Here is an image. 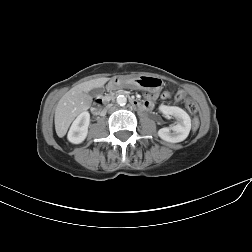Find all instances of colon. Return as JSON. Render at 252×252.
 Wrapping results in <instances>:
<instances>
[{
    "instance_id": "obj_1",
    "label": "colon",
    "mask_w": 252,
    "mask_h": 252,
    "mask_svg": "<svg viewBox=\"0 0 252 252\" xmlns=\"http://www.w3.org/2000/svg\"><path fill=\"white\" fill-rule=\"evenodd\" d=\"M162 98H163V99H166V100H168V99H173L174 101H177V102L182 101V100L185 99V97H184L180 92L176 93L174 96H172V94L169 93V92H164V93L162 94ZM185 106H186L187 110H188L191 114L196 115V113H197V111H198V107H197V105H196L192 100H190V99H185ZM198 124H199V121H198V119L195 117V118L193 119V123H192L193 130H196V129H197Z\"/></svg>"
}]
</instances>
